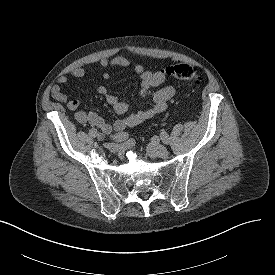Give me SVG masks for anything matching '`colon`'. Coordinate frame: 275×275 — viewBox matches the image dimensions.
<instances>
[{
	"label": "colon",
	"instance_id": "1",
	"mask_svg": "<svg viewBox=\"0 0 275 275\" xmlns=\"http://www.w3.org/2000/svg\"><path fill=\"white\" fill-rule=\"evenodd\" d=\"M166 76L179 79L195 85L201 84V77L195 66L189 64H176L168 66L165 69Z\"/></svg>",
	"mask_w": 275,
	"mask_h": 275
}]
</instances>
